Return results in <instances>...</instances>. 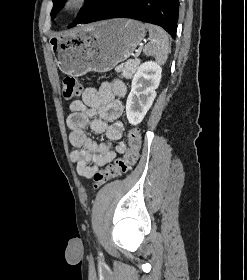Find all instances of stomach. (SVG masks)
I'll use <instances>...</instances> for the list:
<instances>
[{"label":"stomach","mask_w":247,"mask_h":280,"mask_svg":"<svg viewBox=\"0 0 247 280\" xmlns=\"http://www.w3.org/2000/svg\"><path fill=\"white\" fill-rule=\"evenodd\" d=\"M145 26L133 19H112L53 37L50 47L60 70L81 76L107 72L128 59L145 37Z\"/></svg>","instance_id":"obj_1"}]
</instances>
